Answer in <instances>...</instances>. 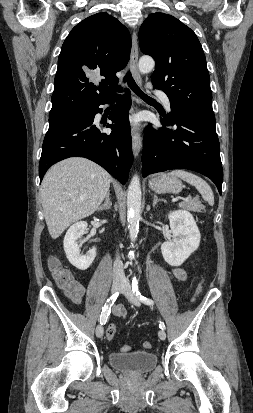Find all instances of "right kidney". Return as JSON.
Here are the masks:
<instances>
[{"label":"right kidney","mask_w":253,"mask_h":413,"mask_svg":"<svg viewBox=\"0 0 253 413\" xmlns=\"http://www.w3.org/2000/svg\"><path fill=\"white\" fill-rule=\"evenodd\" d=\"M87 222L80 221L73 224L66 232L63 245L69 262L79 270H86L90 267L96 257V248L93 247L85 255L80 254V247L77 240L87 229Z\"/></svg>","instance_id":"right-kidney-1"}]
</instances>
